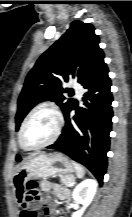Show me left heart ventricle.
I'll use <instances>...</instances> for the list:
<instances>
[{
  "label": "left heart ventricle",
  "mask_w": 132,
  "mask_h": 217,
  "mask_svg": "<svg viewBox=\"0 0 132 217\" xmlns=\"http://www.w3.org/2000/svg\"><path fill=\"white\" fill-rule=\"evenodd\" d=\"M57 125L55 114L49 109L37 111L27 123L23 141L28 147H35L48 141Z\"/></svg>",
  "instance_id": "obj_1"
}]
</instances>
